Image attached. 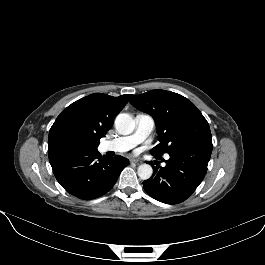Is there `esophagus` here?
Returning a JSON list of instances; mask_svg holds the SVG:
<instances>
[{"mask_svg":"<svg viewBox=\"0 0 265 265\" xmlns=\"http://www.w3.org/2000/svg\"><path fill=\"white\" fill-rule=\"evenodd\" d=\"M131 163H134V164H136V165H140V164H142V161L137 160V159H132V160H131Z\"/></svg>","mask_w":265,"mask_h":265,"instance_id":"34e87169","label":"esophagus"}]
</instances>
